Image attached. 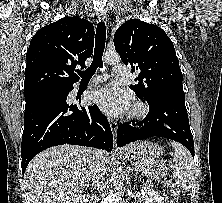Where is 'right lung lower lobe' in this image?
I'll use <instances>...</instances> for the list:
<instances>
[{
	"mask_svg": "<svg viewBox=\"0 0 222 203\" xmlns=\"http://www.w3.org/2000/svg\"><path fill=\"white\" fill-rule=\"evenodd\" d=\"M72 89L70 84L25 98L23 174L36 154L52 146L73 144L112 151L113 135L107 118L96 105L78 108L67 103Z\"/></svg>",
	"mask_w": 222,
	"mask_h": 203,
	"instance_id": "1",
	"label": "right lung lower lobe"
}]
</instances>
